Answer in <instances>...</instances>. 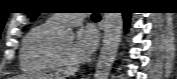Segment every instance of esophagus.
Listing matches in <instances>:
<instances>
[{"label":"esophagus","instance_id":"esophagus-1","mask_svg":"<svg viewBox=\"0 0 177 79\" xmlns=\"http://www.w3.org/2000/svg\"><path fill=\"white\" fill-rule=\"evenodd\" d=\"M100 29L102 30L103 29V21L100 22ZM90 78V74L87 76V79Z\"/></svg>","mask_w":177,"mask_h":79}]
</instances>
